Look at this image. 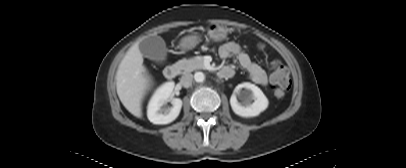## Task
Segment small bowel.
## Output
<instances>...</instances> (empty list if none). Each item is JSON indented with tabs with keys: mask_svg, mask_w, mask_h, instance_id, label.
Masks as SVG:
<instances>
[{
	"mask_svg": "<svg viewBox=\"0 0 406 168\" xmlns=\"http://www.w3.org/2000/svg\"><path fill=\"white\" fill-rule=\"evenodd\" d=\"M218 52L222 59H228L232 56L236 57L240 66L247 71L249 78L253 82L262 86L267 85L268 78L264 69L258 64L254 63L250 56L241 48L239 44L234 42L225 43L219 47Z\"/></svg>",
	"mask_w": 406,
	"mask_h": 168,
	"instance_id": "c3829d8e",
	"label": "small bowel"
}]
</instances>
